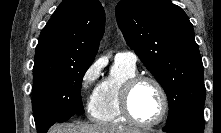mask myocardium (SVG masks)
Returning <instances> with one entry per match:
<instances>
[{"label":"myocardium","instance_id":"myocardium-1","mask_svg":"<svg viewBox=\"0 0 221 133\" xmlns=\"http://www.w3.org/2000/svg\"><path fill=\"white\" fill-rule=\"evenodd\" d=\"M145 81L152 83L157 88L161 97V102H162V108H161L159 116L155 120L150 121V122H144V121L137 119L134 116L132 109H131L132 93L135 87L139 83L145 82ZM120 107H121L122 114L127 119V121L139 127L149 128V127H154L163 121V119L165 118L168 112L169 102H168L166 90L159 80H157L153 76L136 74L135 76L127 79L122 85L121 92H120Z\"/></svg>","mask_w":221,"mask_h":133}]
</instances>
